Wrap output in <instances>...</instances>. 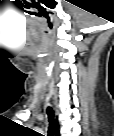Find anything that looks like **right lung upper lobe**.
Listing matches in <instances>:
<instances>
[{
    "mask_svg": "<svg viewBox=\"0 0 114 136\" xmlns=\"http://www.w3.org/2000/svg\"><path fill=\"white\" fill-rule=\"evenodd\" d=\"M56 135H59V125H58V122L56 123Z\"/></svg>",
    "mask_w": 114,
    "mask_h": 136,
    "instance_id": "1",
    "label": "right lung upper lobe"
}]
</instances>
